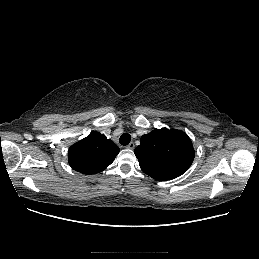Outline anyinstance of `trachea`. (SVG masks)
Returning a JSON list of instances; mask_svg holds the SVG:
<instances>
[{
	"label": "trachea",
	"mask_w": 259,
	"mask_h": 259,
	"mask_svg": "<svg viewBox=\"0 0 259 259\" xmlns=\"http://www.w3.org/2000/svg\"><path fill=\"white\" fill-rule=\"evenodd\" d=\"M130 141H131V136H130V134H128V133H124V134H122L121 136H120V139H119V142H120V144H122V145H128L129 143H130Z\"/></svg>",
	"instance_id": "obj_1"
}]
</instances>
